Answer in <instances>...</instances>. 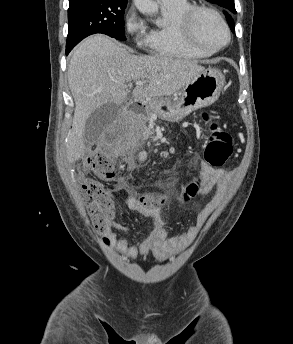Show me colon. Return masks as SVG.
Listing matches in <instances>:
<instances>
[{"label": "colon", "instance_id": "1", "mask_svg": "<svg viewBox=\"0 0 293 344\" xmlns=\"http://www.w3.org/2000/svg\"><path fill=\"white\" fill-rule=\"evenodd\" d=\"M202 118L210 124V135L204 152L205 163L212 168H219L226 164L233 151L231 135L220 129L213 122L214 113L204 111ZM89 169L99 178L114 179L118 174V165L113 158L104 152H97L88 158ZM198 185H190L183 193V200L187 201L196 194ZM87 212L95 229L102 231L105 223L113 218L114 201L109 191L95 181L83 185ZM138 200L146 206H156L163 202L159 194L149 193L137 196Z\"/></svg>", "mask_w": 293, "mask_h": 344}]
</instances>
